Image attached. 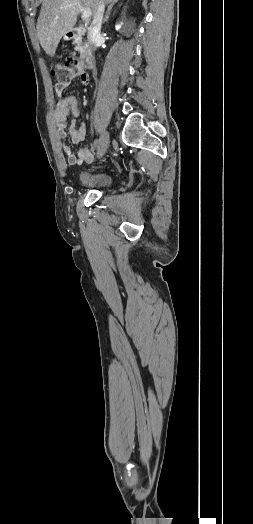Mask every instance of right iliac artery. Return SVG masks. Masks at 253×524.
<instances>
[{
	"label": "right iliac artery",
	"instance_id": "1",
	"mask_svg": "<svg viewBox=\"0 0 253 524\" xmlns=\"http://www.w3.org/2000/svg\"><path fill=\"white\" fill-rule=\"evenodd\" d=\"M98 144H99V140H95V141L93 142V145H92V151H94V150L97 148Z\"/></svg>",
	"mask_w": 253,
	"mask_h": 524
}]
</instances>
